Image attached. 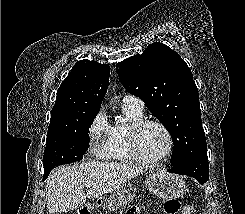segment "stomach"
<instances>
[{"label": "stomach", "mask_w": 245, "mask_h": 214, "mask_svg": "<svg viewBox=\"0 0 245 214\" xmlns=\"http://www.w3.org/2000/svg\"><path fill=\"white\" fill-rule=\"evenodd\" d=\"M148 190L164 200L181 197L186 189L184 181L177 175L167 172H157L149 175L145 181ZM136 188L126 183L106 198L104 205L109 210H116L129 204L135 197ZM87 209L90 211L91 207Z\"/></svg>", "instance_id": "obj_1"}]
</instances>
